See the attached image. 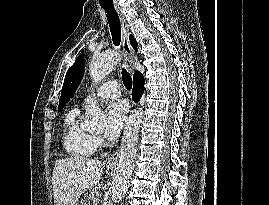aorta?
Here are the masks:
<instances>
[{
  "instance_id": "762f6f07",
  "label": "aorta",
  "mask_w": 269,
  "mask_h": 205,
  "mask_svg": "<svg viewBox=\"0 0 269 205\" xmlns=\"http://www.w3.org/2000/svg\"><path fill=\"white\" fill-rule=\"evenodd\" d=\"M119 53L108 51L99 55H94L89 64V73L94 82H99L105 78L118 63ZM144 114L142 109L134 110L128 117L122 138L119 162L116 168L115 179L110 192L111 200L115 204L119 203L128 190L130 176L134 169L137 145L139 141V129L143 122ZM104 115L101 109L92 100L86 105V126L94 128L102 123Z\"/></svg>"
}]
</instances>
